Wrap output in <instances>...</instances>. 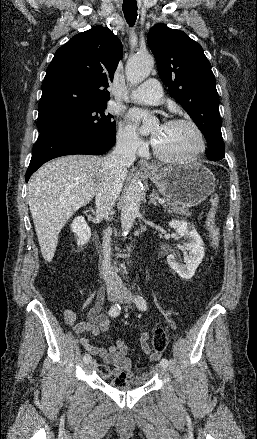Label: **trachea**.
Segmentation results:
<instances>
[{
  "mask_svg": "<svg viewBox=\"0 0 257 439\" xmlns=\"http://www.w3.org/2000/svg\"><path fill=\"white\" fill-rule=\"evenodd\" d=\"M122 9L125 19L130 26H133L137 19V2L136 0H124Z\"/></svg>",
  "mask_w": 257,
  "mask_h": 439,
  "instance_id": "trachea-1",
  "label": "trachea"
}]
</instances>
